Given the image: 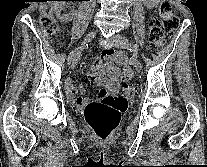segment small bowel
<instances>
[{
  "instance_id": "small-bowel-1",
  "label": "small bowel",
  "mask_w": 207,
  "mask_h": 167,
  "mask_svg": "<svg viewBox=\"0 0 207 167\" xmlns=\"http://www.w3.org/2000/svg\"><path fill=\"white\" fill-rule=\"evenodd\" d=\"M146 2H155V0H146ZM119 54H116V58ZM113 52L111 50H106L101 55V60L104 62V66L108 71L109 78L105 79L103 76V68L99 69L97 72H88L91 84L95 85L99 89V98L106 96L108 94H114L118 81H119V71L118 68L112 63ZM123 67L122 78L129 79L132 76V70L125 62H120ZM85 66H81V70H84ZM65 89L67 98L71 103L78 105L79 107H85L89 105L92 100L82 96L84 90L82 87L76 88L72 81L68 79L65 82ZM80 93V96H77Z\"/></svg>"
}]
</instances>
